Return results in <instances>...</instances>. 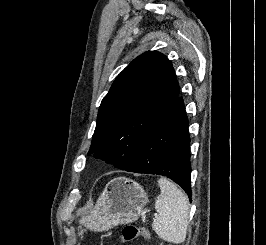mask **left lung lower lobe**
<instances>
[{"instance_id":"obj_1","label":"left lung lower lobe","mask_w":266,"mask_h":245,"mask_svg":"<svg viewBox=\"0 0 266 245\" xmlns=\"http://www.w3.org/2000/svg\"><path fill=\"white\" fill-rule=\"evenodd\" d=\"M125 171L166 176L180 185L191 201L188 118L179 95L142 136Z\"/></svg>"}]
</instances>
